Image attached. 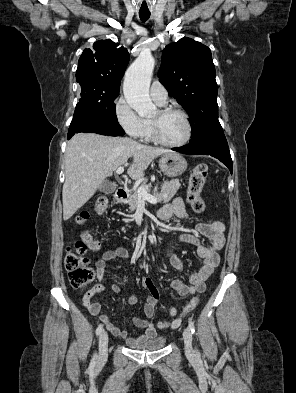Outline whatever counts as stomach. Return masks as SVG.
I'll use <instances>...</instances> for the list:
<instances>
[{"label":"stomach","mask_w":296,"mask_h":393,"mask_svg":"<svg viewBox=\"0 0 296 393\" xmlns=\"http://www.w3.org/2000/svg\"><path fill=\"white\" fill-rule=\"evenodd\" d=\"M159 167L166 176L177 177L187 169V161L178 153H166L161 156Z\"/></svg>","instance_id":"0dacf381"}]
</instances>
